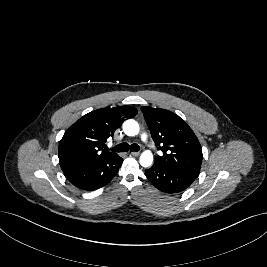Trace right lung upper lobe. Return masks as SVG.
I'll return each instance as SVG.
<instances>
[{
    "label": "right lung upper lobe",
    "instance_id": "1",
    "mask_svg": "<svg viewBox=\"0 0 267 267\" xmlns=\"http://www.w3.org/2000/svg\"><path fill=\"white\" fill-rule=\"evenodd\" d=\"M136 114L137 110L132 106H119L98 109L81 117L66 130L59 143L61 169L66 171L117 156L104 149L105 142L126 119Z\"/></svg>",
    "mask_w": 267,
    "mask_h": 267
}]
</instances>
